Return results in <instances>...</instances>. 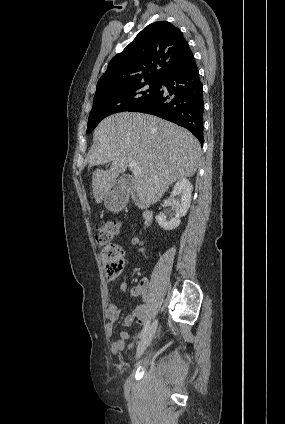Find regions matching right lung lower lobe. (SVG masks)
Returning a JSON list of instances; mask_svg holds the SVG:
<instances>
[{"label":"right lung lower lobe","mask_w":285,"mask_h":424,"mask_svg":"<svg viewBox=\"0 0 285 424\" xmlns=\"http://www.w3.org/2000/svg\"><path fill=\"white\" fill-rule=\"evenodd\" d=\"M162 85L168 92L159 90L130 111L155 115L178 124L203 144V87L195 59L163 78Z\"/></svg>","instance_id":"98d812e1"}]
</instances>
